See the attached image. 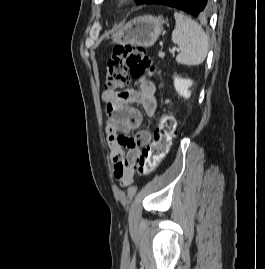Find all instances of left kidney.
I'll return each mask as SVG.
<instances>
[{
    "mask_svg": "<svg viewBox=\"0 0 265 269\" xmlns=\"http://www.w3.org/2000/svg\"><path fill=\"white\" fill-rule=\"evenodd\" d=\"M193 81L190 79H183L181 77H174V87L175 90L181 97L188 99L191 96V91L189 88L192 86Z\"/></svg>",
    "mask_w": 265,
    "mask_h": 269,
    "instance_id": "left-kidney-1",
    "label": "left kidney"
}]
</instances>
